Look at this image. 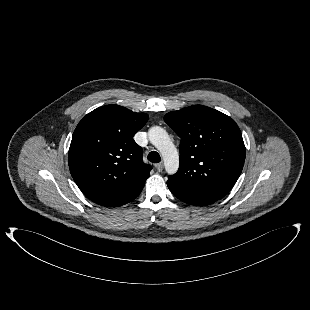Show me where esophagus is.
<instances>
[{"mask_svg": "<svg viewBox=\"0 0 310 310\" xmlns=\"http://www.w3.org/2000/svg\"><path fill=\"white\" fill-rule=\"evenodd\" d=\"M163 164L162 163H157L155 165V168L157 169L158 172H161L163 170Z\"/></svg>", "mask_w": 310, "mask_h": 310, "instance_id": "34e87169", "label": "esophagus"}]
</instances>
